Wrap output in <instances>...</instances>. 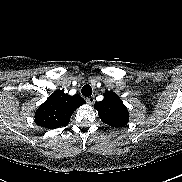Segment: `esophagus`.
I'll return each instance as SVG.
<instances>
[{
	"label": "esophagus",
	"instance_id": "1",
	"mask_svg": "<svg viewBox=\"0 0 182 182\" xmlns=\"http://www.w3.org/2000/svg\"><path fill=\"white\" fill-rule=\"evenodd\" d=\"M86 101H87L88 104L93 105L94 102H95V98H94V96H91V97H88L86 99Z\"/></svg>",
	"mask_w": 182,
	"mask_h": 182
}]
</instances>
